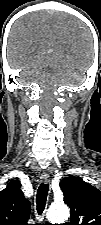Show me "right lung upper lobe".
Segmentation results:
<instances>
[{
	"label": "right lung upper lobe",
	"mask_w": 101,
	"mask_h": 225,
	"mask_svg": "<svg viewBox=\"0 0 101 225\" xmlns=\"http://www.w3.org/2000/svg\"><path fill=\"white\" fill-rule=\"evenodd\" d=\"M30 202L21 191V183L12 180L0 192V225H28Z\"/></svg>",
	"instance_id": "obj_1"
}]
</instances>
